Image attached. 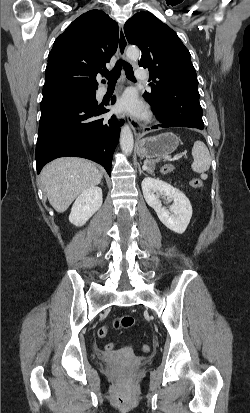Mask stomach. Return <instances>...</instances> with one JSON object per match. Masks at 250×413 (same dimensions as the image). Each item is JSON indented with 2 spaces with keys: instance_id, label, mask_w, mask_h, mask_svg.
<instances>
[{
  "instance_id": "stomach-1",
  "label": "stomach",
  "mask_w": 250,
  "mask_h": 413,
  "mask_svg": "<svg viewBox=\"0 0 250 413\" xmlns=\"http://www.w3.org/2000/svg\"><path fill=\"white\" fill-rule=\"evenodd\" d=\"M177 135L167 132L141 139L137 144V153L142 158H161L173 153L178 145Z\"/></svg>"
}]
</instances>
